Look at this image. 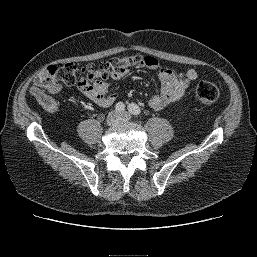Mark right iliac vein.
Here are the masks:
<instances>
[{"mask_svg":"<svg viewBox=\"0 0 257 257\" xmlns=\"http://www.w3.org/2000/svg\"><path fill=\"white\" fill-rule=\"evenodd\" d=\"M120 117L116 112L110 113L106 119V124L108 126H113L118 123Z\"/></svg>","mask_w":257,"mask_h":257,"instance_id":"63e3f726","label":"right iliac vein"}]
</instances>
